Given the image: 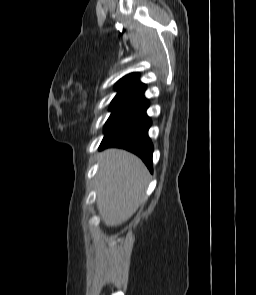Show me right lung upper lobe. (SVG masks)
<instances>
[{
	"label": "right lung upper lobe",
	"instance_id": "1",
	"mask_svg": "<svg viewBox=\"0 0 256 295\" xmlns=\"http://www.w3.org/2000/svg\"><path fill=\"white\" fill-rule=\"evenodd\" d=\"M118 91L112 101L132 100L142 95L146 86L140 82L139 73H131L121 78L115 85Z\"/></svg>",
	"mask_w": 256,
	"mask_h": 295
}]
</instances>
